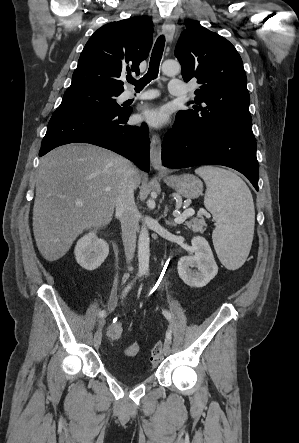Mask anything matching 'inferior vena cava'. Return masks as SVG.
Listing matches in <instances>:
<instances>
[{
    "label": "inferior vena cava",
    "instance_id": "1",
    "mask_svg": "<svg viewBox=\"0 0 299 443\" xmlns=\"http://www.w3.org/2000/svg\"><path fill=\"white\" fill-rule=\"evenodd\" d=\"M135 188V170L133 167H130L124 171L116 198V213L120 217L122 240L127 262H130L134 257L136 247L138 210L134 201Z\"/></svg>",
    "mask_w": 299,
    "mask_h": 443
}]
</instances>
